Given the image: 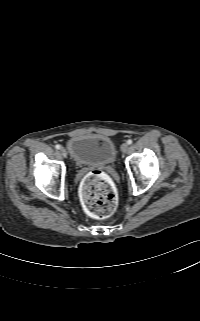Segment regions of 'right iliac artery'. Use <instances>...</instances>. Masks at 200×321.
Returning <instances> with one entry per match:
<instances>
[{"instance_id":"obj_1","label":"right iliac artery","mask_w":200,"mask_h":321,"mask_svg":"<svg viewBox=\"0 0 200 321\" xmlns=\"http://www.w3.org/2000/svg\"><path fill=\"white\" fill-rule=\"evenodd\" d=\"M55 148H56V149H60L61 146H60L59 144H57V145L55 146Z\"/></svg>"}]
</instances>
